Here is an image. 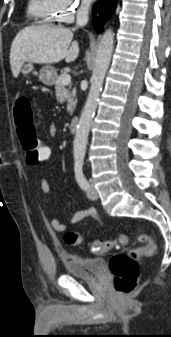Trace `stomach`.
Masks as SVG:
<instances>
[{
	"instance_id": "obj_1",
	"label": "stomach",
	"mask_w": 171,
	"mask_h": 337,
	"mask_svg": "<svg viewBox=\"0 0 171 337\" xmlns=\"http://www.w3.org/2000/svg\"><path fill=\"white\" fill-rule=\"evenodd\" d=\"M34 67L31 62H25L22 67L20 72L24 75L27 76L33 71ZM57 77L56 70L51 67V66H44L40 70V80L46 84V85H52Z\"/></svg>"
}]
</instances>
